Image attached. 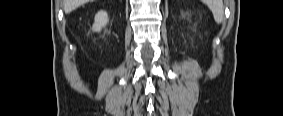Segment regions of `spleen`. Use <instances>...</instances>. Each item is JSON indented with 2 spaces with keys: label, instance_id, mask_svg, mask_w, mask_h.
I'll list each match as a JSON object with an SVG mask.
<instances>
[{
  "label": "spleen",
  "instance_id": "3e777b00",
  "mask_svg": "<svg viewBox=\"0 0 283 116\" xmlns=\"http://www.w3.org/2000/svg\"><path fill=\"white\" fill-rule=\"evenodd\" d=\"M205 4L211 10L214 20L220 24L224 20V6L222 0H206Z\"/></svg>",
  "mask_w": 283,
  "mask_h": 116
}]
</instances>
